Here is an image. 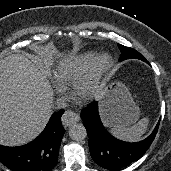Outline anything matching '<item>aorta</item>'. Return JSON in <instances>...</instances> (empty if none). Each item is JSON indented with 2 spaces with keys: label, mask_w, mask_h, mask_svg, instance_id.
<instances>
[{
  "label": "aorta",
  "mask_w": 171,
  "mask_h": 171,
  "mask_svg": "<svg viewBox=\"0 0 171 171\" xmlns=\"http://www.w3.org/2000/svg\"><path fill=\"white\" fill-rule=\"evenodd\" d=\"M69 137L74 141H82L87 136L86 128L83 124L74 123L69 128Z\"/></svg>",
  "instance_id": "obj_1"
}]
</instances>
